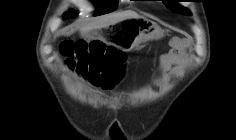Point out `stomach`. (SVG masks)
Listing matches in <instances>:
<instances>
[{
  "instance_id": "obj_1",
  "label": "stomach",
  "mask_w": 236,
  "mask_h": 140,
  "mask_svg": "<svg viewBox=\"0 0 236 140\" xmlns=\"http://www.w3.org/2000/svg\"><path fill=\"white\" fill-rule=\"evenodd\" d=\"M92 30H113L89 31V40L114 44L125 51L163 35L162 29L155 22L140 16L128 17L120 22H102V25H92Z\"/></svg>"
}]
</instances>
